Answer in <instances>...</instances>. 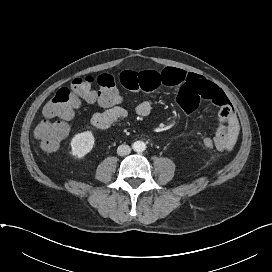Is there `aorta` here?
<instances>
[{"instance_id":"1","label":"aorta","mask_w":272,"mask_h":272,"mask_svg":"<svg viewBox=\"0 0 272 272\" xmlns=\"http://www.w3.org/2000/svg\"><path fill=\"white\" fill-rule=\"evenodd\" d=\"M133 149L136 152H143L146 149V144L143 141H136L133 144Z\"/></svg>"}]
</instances>
